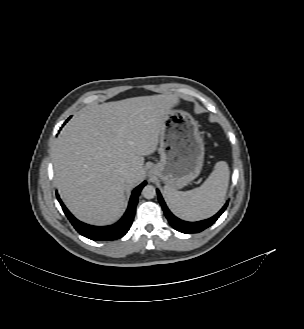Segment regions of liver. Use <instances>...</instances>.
Listing matches in <instances>:
<instances>
[{"mask_svg": "<svg viewBox=\"0 0 304 329\" xmlns=\"http://www.w3.org/2000/svg\"><path fill=\"white\" fill-rule=\"evenodd\" d=\"M175 94L133 97L83 108L54 143L55 186L69 210L93 225L115 222L125 190L144 179V156L157 149ZM128 169L124 179L120 173Z\"/></svg>", "mask_w": 304, "mask_h": 329, "instance_id": "1", "label": "liver"}]
</instances>
